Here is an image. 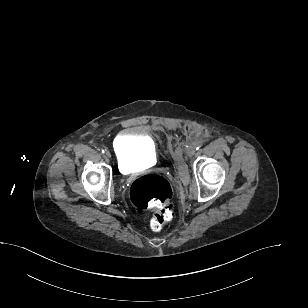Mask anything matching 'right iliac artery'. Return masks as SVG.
I'll list each match as a JSON object with an SVG mask.
<instances>
[{"mask_svg": "<svg viewBox=\"0 0 308 308\" xmlns=\"http://www.w3.org/2000/svg\"><path fill=\"white\" fill-rule=\"evenodd\" d=\"M106 151V149L104 150V149H102V153H104Z\"/></svg>", "mask_w": 308, "mask_h": 308, "instance_id": "obj_1", "label": "right iliac artery"}]
</instances>
